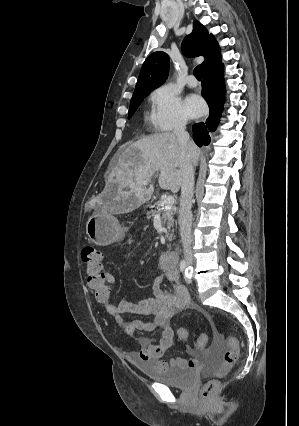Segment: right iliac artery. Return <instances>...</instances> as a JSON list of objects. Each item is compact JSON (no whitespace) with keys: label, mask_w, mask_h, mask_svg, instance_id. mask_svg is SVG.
I'll list each match as a JSON object with an SVG mask.
<instances>
[{"label":"right iliac artery","mask_w":299,"mask_h":426,"mask_svg":"<svg viewBox=\"0 0 299 426\" xmlns=\"http://www.w3.org/2000/svg\"><path fill=\"white\" fill-rule=\"evenodd\" d=\"M186 270V263L185 261H181L180 263V271L184 272Z\"/></svg>","instance_id":"right-iliac-artery-1"}]
</instances>
